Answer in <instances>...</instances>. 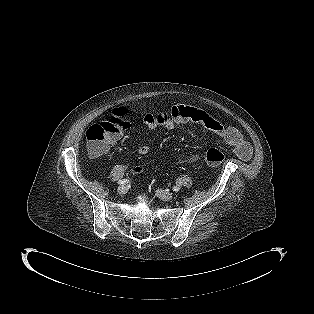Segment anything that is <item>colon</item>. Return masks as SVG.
<instances>
[{
	"label": "colon",
	"instance_id": "5ec220e1",
	"mask_svg": "<svg viewBox=\"0 0 314 314\" xmlns=\"http://www.w3.org/2000/svg\"><path fill=\"white\" fill-rule=\"evenodd\" d=\"M127 111L119 108L107 120L91 125L86 133L87 149L92 156H101L107 152L111 142L128 128ZM208 166H217L224 161V154L215 148L207 151L205 157Z\"/></svg>",
	"mask_w": 314,
	"mask_h": 314
}]
</instances>
